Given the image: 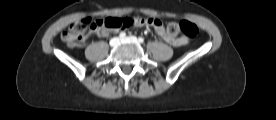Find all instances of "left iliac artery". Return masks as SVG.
I'll return each mask as SVG.
<instances>
[{"label":"left iliac artery","mask_w":276,"mask_h":120,"mask_svg":"<svg viewBox=\"0 0 276 120\" xmlns=\"http://www.w3.org/2000/svg\"><path fill=\"white\" fill-rule=\"evenodd\" d=\"M138 40H139L140 43H143V42H144V39H143L142 37H139Z\"/></svg>","instance_id":"44dca946"}]
</instances>
